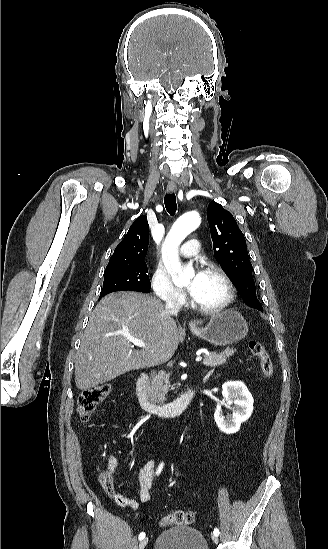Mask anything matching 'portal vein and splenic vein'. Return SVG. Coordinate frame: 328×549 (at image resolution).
I'll use <instances>...</instances> for the list:
<instances>
[{
  "mask_svg": "<svg viewBox=\"0 0 328 549\" xmlns=\"http://www.w3.org/2000/svg\"><path fill=\"white\" fill-rule=\"evenodd\" d=\"M127 339L128 341H131L133 345H136V347H145L144 341H139V339H131V337H127ZM201 359H202V356H197V361H201Z\"/></svg>",
  "mask_w": 328,
  "mask_h": 549,
  "instance_id": "18ae733b",
  "label": "portal vein and splenic vein"
}]
</instances>
